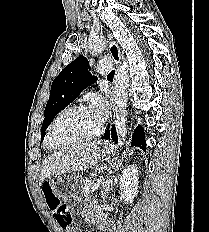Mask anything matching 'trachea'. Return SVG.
<instances>
[{"instance_id":"1","label":"trachea","mask_w":209,"mask_h":232,"mask_svg":"<svg viewBox=\"0 0 209 232\" xmlns=\"http://www.w3.org/2000/svg\"><path fill=\"white\" fill-rule=\"evenodd\" d=\"M114 75H115V70H112V71L108 74L107 78L112 79V78L114 77Z\"/></svg>"}]
</instances>
